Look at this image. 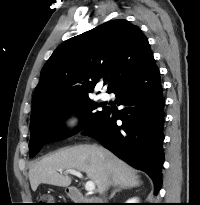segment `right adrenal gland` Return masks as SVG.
<instances>
[{
    "label": "right adrenal gland",
    "instance_id": "right-adrenal-gland-1",
    "mask_svg": "<svg viewBox=\"0 0 200 205\" xmlns=\"http://www.w3.org/2000/svg\"><path fill=\"white\" fill-rule=\"evenodd\" d=\"M129 188H130V187H126V186H118V187L115 188V190L111 193L109 199H112L117 192H120V191L123 190V189H129Z\"/></svg>",
    "mask_w": 200,
    "mask_h": 205
}]
</instances>
